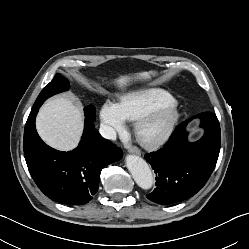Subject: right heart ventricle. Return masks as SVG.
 I'll use <instances>...</instances> for the list:
<instances>
[{"mask_svg":"<svg viewBox=\"0 0 249 249\" xmlns=\"http://www.w3.org/2000/svg\"><path fill=\"white\" fill-rule=\"evenodd\" d=\"M171 100H174V98L169 92L163 89L150 88L124 96L118 105L124 117L132 121L151 108Z\"/></svg>","mask_w":249,"mask_h":249,"instance_id":"1","label":"right heart ventricle"}]
</instances>
